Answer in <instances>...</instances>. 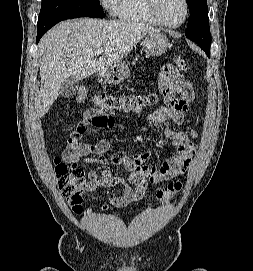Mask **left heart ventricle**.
<instances>
[{"instance_id": "left-heart-ventricle-1", "label": "left heart ventricle", "mask_w": 253, "mask_h": 271, "mask_svg": "<svg viewBox=\"0 0 253 271\" xmlns=\"http://www.w3.org/2000/svg\"><path fill=\"white\" fill-rule=\"evenodd\" d=\"M158 9L163 19L170 24L179 23L185 14L182 0H158Z\"/></svg>"}]
</instances>
